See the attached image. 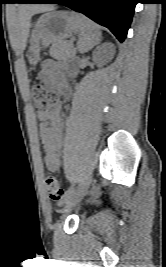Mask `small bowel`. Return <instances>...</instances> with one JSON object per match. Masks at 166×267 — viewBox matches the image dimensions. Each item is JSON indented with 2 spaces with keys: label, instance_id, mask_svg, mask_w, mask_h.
<instances>
[{
  "label": "small bowel",
  "instance_id": "c3829d8e",
  "mask_svg": "<svg viewBox=\"0 0 166 267\" xmlns=\"http://www.w3.org/2000/svg\"><path fill=\"white\" fill-rule=\"evenodd\" d=\"M70 75L75 71L70 67L65 69ZM39 79L45 85L55 87L66 96L70 94L66 84L65 75L60 65L54 60H46L39 72ZM39 120V134L42 145L43 157L47 168L51 171H58L60 168V149L63 141V119L61 117V107L54 105L46 110L36 112Z\"/></svg>",
  "mask_w": 166,
  "mask_h": 267
}]
</instances>
